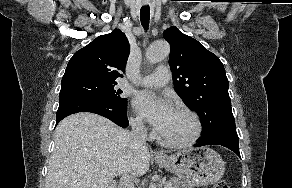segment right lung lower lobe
I'll list each match as a JSON object with an SVG mask.
<instances>
[{"label":"right lung lower lobe","mask_w":292,"mask_h":188,"mask_svg":"<svg viewBox=\"0 0 292 188\" xmlns=\"http://www.w3.org/2000/svg\"><path fill=\"white\" fill-rule=\"evenodd\" d=\"M78 112H91L104 116L120 127L129 125L126 107L109 108L92 99L80 95H65L59 97V108L56 113V124L68 115Z\"/></svg>","instance_id":"98d812e1"}]
</instances>
